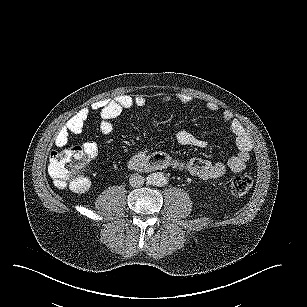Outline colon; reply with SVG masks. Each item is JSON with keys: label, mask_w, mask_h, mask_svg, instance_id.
<instances>
[{"label": "colon", "mask_w": 307, "mask_h": 307, "mask_svg": "<svg viewBox=\"0 0 307 307\" xmlns=\"http://www.w3.org/2000/svg\"><path fill=\"white\" fill-rule=\"evenodd\" d=\"M87 165L83 149L74 146L53 152L49 158L48 171L57 187L83 192L90 183L85 173ZM252 185L253 180L249 175H238L229 180L228 190L235 196H242L249 192Z\"/></svg>", "instance_id": "obj_1"}]
</instances>
